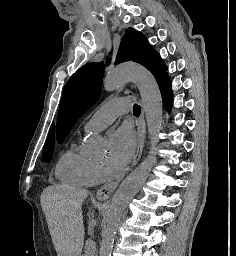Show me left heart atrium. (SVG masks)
Segmentation results:
<instances>
[{
  "instance_id": "left-heart-atrium-1",
  "label": "left heart atrium",
  "mask_w": 236,
  "mask_h": 256,
  "mask_svg": "<svg viewBox=\"0 0 236 256\" xmlns=\"http://www.w3.org/2000/svg\"><path fill=\"white\" fill-rule=\"evenodd\" d=\"M109 152L106 159L111 171L121 170L134 154L136 139L131 128L123 126L109 136Z\"/></svg>"
}]
</instances>
